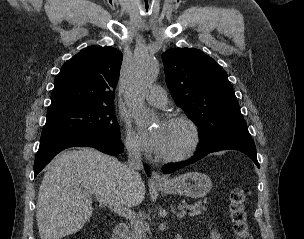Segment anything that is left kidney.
<instances>
[{
	"mask_svg": "<svg viewBox=\"0 0 304 239\" xmlns=\"http://www.w3.org/2000/svg\"><path fill=\"white\" fill-rule=\"evenodd\" d=\"M210 238H211V239H222V238L220 237V234H218L217 231H215V230H212V231L210 232Z\"/></svg>",
	"mask_w": 304,
	"mask_h": 239,
	"instance_id": "5707ae66",
	"label": "left kidney"
}]
</instances>
